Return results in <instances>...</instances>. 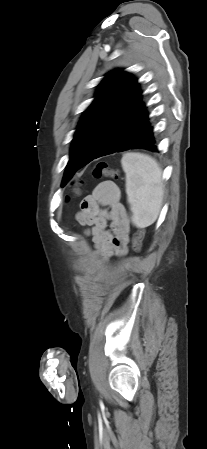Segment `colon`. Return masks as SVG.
I'll list each match as a JSON object with an SVG mask.
<instances>
[{"instance_id": "obj_1", "label": "colon", "mask_w": 207, "mask_h": 449, "mask_svg": "<svg viewBox=\"0 0 207 449\" xmlns=\"http://www.w3.org/2000/svg\"><path fill=\"white\" fill-rule=\"evenodd\" d=\"M92 174L95 178L108 177L112 179H119L120 177L119 171L117 169L110 168L104 161L96 163L93 168ZM74 192L78 194L79 189L76 187ZM144 235L145 231L143 229L138 230L134 233L132 238V247L134 251L139 252L141 250Z\"/></svg>"}]
</instances>
